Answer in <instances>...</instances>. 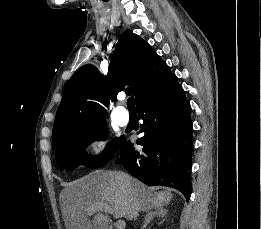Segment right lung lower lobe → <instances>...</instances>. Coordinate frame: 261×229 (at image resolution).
Returning a JSON list of instances; mask_svg holds the SVG:
<instances>
[{
    "mask_svg": "<svg viewBox=\"0 0 261 229\" xmlns=\"http://www.w3.org/2000/svg\"><path fill=\"white\" fill-rule=\"evenodd\" d=\"M137 110L144 122L140 132L145 133L137 144L144 148L138 151L124 142L116 163L143 183L174 188L189 200L193 127L191 107L177 77L142 100Z\"/></svg>",
    "mask_w": 261,
    "mask_h": 229,
    "instance_id": "obj_1",
    "label": "right lung lower lobe"
}]
</instances>
